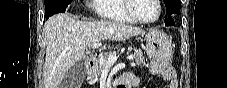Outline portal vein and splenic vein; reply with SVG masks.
<instances>
[{"instance_id": "obj_1", "label": "portal vein and splenic vein", "mask_w": 227, "mask_h": 88, "mask_svg": "<svg viewBox=\"0 0 227 88\" xmlns=\"http://www.w3.org/2000/svg\"><path fill=\"white\" fill-rule=\"evenodd\" d=\"M102 46V43L101 42H98V43H93L92 45H91V47H92V49H97V48H99V47H101ZM134 58V56L133 55H129L128 57H127V59L128 60H132ZM117 59H118V57L116 56V55H114V54H109L108 55V65H113L116 61H117Z\"/></svg>"}]
</instances>
